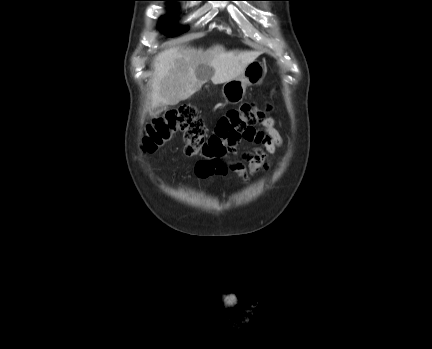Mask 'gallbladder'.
I'll list each match as a JSON object with an SVG mask.
<instances>
[{"mask_svg":"<svg viewBox=\"0 0 432 349\" xmlns=\"http://www.w3.org/2000/svg\"><path fill=\"white\" fill-rule=\"evenodd\" d=\"M208 71H209V73L212 72L211 69H208ZM166 110H167V105H159V106L155 109V113H156V114H160V113H162V112H164V111H166Z\"/></svg>","mask_w":432,"mask_h":349,"instance_id":"1","label":"gallbladder"}]
</instances>
